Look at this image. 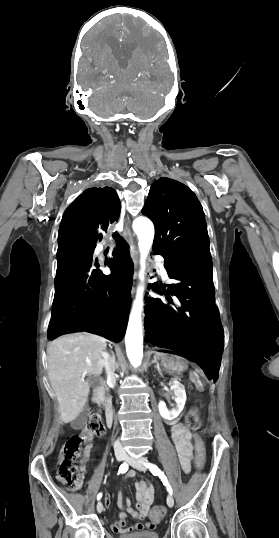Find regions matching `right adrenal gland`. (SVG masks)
<instances>
[{
    "instance_id": "2a0ac1e0",
    "label": "right adrenal gland",
    "mask_w": 279,
    "mask_h": 538,
    "mask_svg": "<svg viewBox=\"0 0 279 538\" xmlns=\"http://www.w3.org/2000/svg\"><path fill=\"white\" fill-rule=\"evenodd\" d=\"M112 354V358H110L111 362H113V364H115V354L114 352H111Z\"/></svg>"
}]
</instances>
